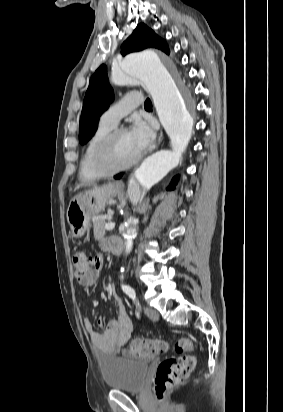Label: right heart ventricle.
Masks as SVG:
<instances>
[{
    "label": "right heart ventricle",
    "instance_id": "1",
    "mask_svg": "<svg viewBox=\"0 0 283 412\" xmlns=\"http://www.w3.org/2000/svg\"><path fill=\"white\" fill-rule=\"evenodd\" d=\"M112 129V127L99 123L87 140L79 165V177L82 181L93 180L101 176L94 165V156L98 146Z\"/></svg>",
    "mask_w": 283,
    "mask_h": 412
}]
</instances>
